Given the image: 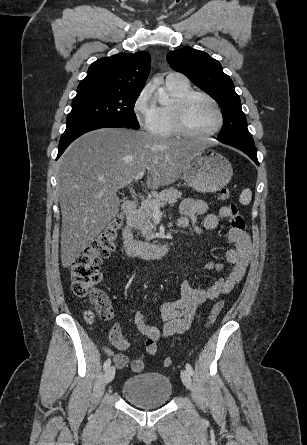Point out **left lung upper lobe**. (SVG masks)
Masks as SVG:
<instances>
[{
	"label": "left lung upper lobe",
	"mask_w": 307,
	"mask_h": 445,
	"mask_svg": "<svg viewBox=\"0 0 307 445\" xmlns=\"http://www.w3.org/2000/svg\"><path fill=\"white\" fill-rule=\"evenodd\" d=\"M169 65L185 74L191 82L209 94L221 107L224 125L218 138L252 142L246 116L230 77L216 59L190 47L171 51L166 56Z\"/></svg>",
	"instance_id": "obj_1"
}]
</instances>
